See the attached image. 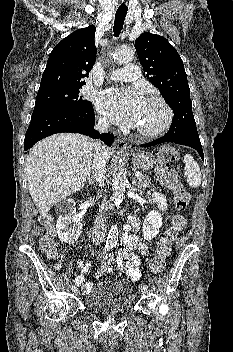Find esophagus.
<instances>
[{"instance_id":"1","label":"esophagus","mask_w":233,"mask_h":352,"mask_svg":"<svg viewBox=\"0 0 233 352\" xmlns=\"http://www.w3.org/2000/svg\"><path fill=\"white\" fill-rule=\"evenodd\" d=\"M115 145L120 150L127 149V143H126V141L124 139H121V138L117 139L116 142H115Z\"/></svg>"}]
</instances>
